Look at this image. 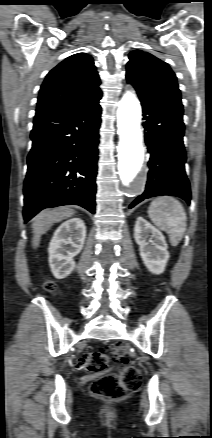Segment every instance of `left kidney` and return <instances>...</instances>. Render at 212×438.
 Segmentation results:
<instances>
[{
    "mask_svg": "<svg viewBox=\"0 0 212 438\" xmlns=\"http://www.w3.org/2000/svg\"><path fill=\"white\" fill-rule=\"evenodd\" d=\"M134 239L139 245L140 256L153 274L164 272L169 252L164 235L143 217H138L134 227Z\"/></svg>",
    "mask_w": 212,
    "mask_h": 438,
    "instance_id": "5707ae66",
    "label": "left kidney"
}]
</instances>
